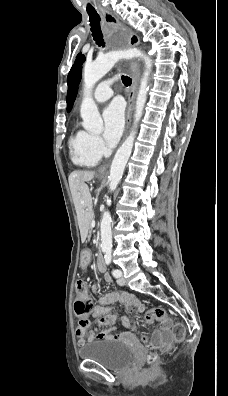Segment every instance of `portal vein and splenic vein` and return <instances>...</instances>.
Wrapping results in <instances>:
<instances>
[{
  "label": "portal vein and splenic vein",
  "instance_id": "1",
  "mask_svg": "<svg viewBox=\"0 0 228 396\" xmlns=\"http://www.w3.org/2000/svg\"><path fill=\"white\" fill-rule=\"evenodd\" d=\"M95 224H96L95 221H93V222L91 223V226L94 227Z\"/></svg>",
  "mask_w": 228,
  "mask_h": 396
}]
</instances>
